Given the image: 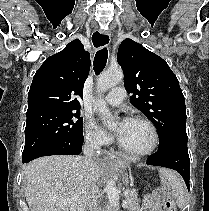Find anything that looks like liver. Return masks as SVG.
Returning <instances> with one entry per match:
<instances>
[{
    "instance_id": "6515ba94",
    "label": "liver",
    "mask_w": 209,
    "mask_h": 211,
    "mask_svg": "<svg viewBox=\"0 0 209 211\" xmlns=\"http://www.w3.org/2000/svg\"><path fill=\"white\" fill-rule=\"evenodd\" d=\"M76 159L68 155L45 156L25 166V197L30 211H86L91 182ZM106 167V162L95 164L96 181ZM72 196L78 198L71 204L61 201Z\"/></svg>"
}]
</instances>
